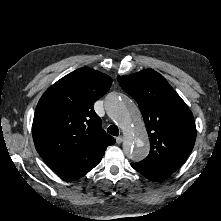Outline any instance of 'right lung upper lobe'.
I'll return each mask as SVG.
<instances>
[{
    "instance_id": "1",
    "label": "right lung upper lobe",
    "mask_w": 221,
    "mask_h": 221,
    "mask_svg": "<svg viewBox=\"0 0 221 221\" xmlns=\"http://www.w3.org/2000/svg\"><path fill=\"white\" fill-rule=\"evenodd\" d=\"M112 85L110 76L82 67L53 84L40 98L32 134L35 147L50 164L83 150L113 145L115 139L101 128L93 104Z\"/></svg>"
}]
</instances>
